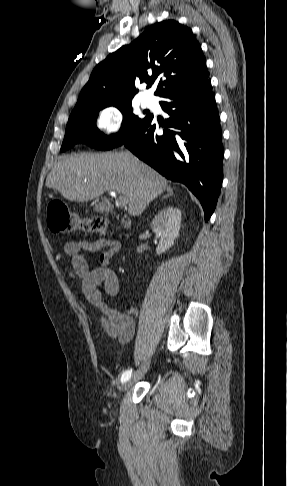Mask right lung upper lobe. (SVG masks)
I'll return each mask as SVG.
<instances>
[{
	"instance_id": "cb5924a9",
	"label": "right lung upper lobe",
	"mask_w": 287,
	"mask_h": 486,
	"mask_svg": "<svg viewBox=\"0 0 287 486\" xmlns=\"http://www.w3.org/2000/svg\"><path fill=\"white\" fill-rule=\"evenodd\" d=\"M159 76L155 95L198 85L208 79L206 59L192 30L175 20L150 26L130 45L109 54L91 73L72 112L132 99L135 83L150 86Z\"/></svg>"
}]
</instances>
